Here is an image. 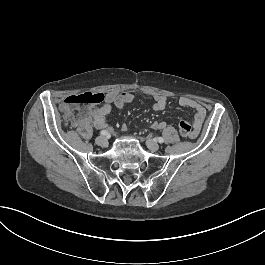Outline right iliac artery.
Returning <instances> with one entry per match:
<instances>
[{"mask_svg":"<svg viewBox=\"0 0 265 265\" xmlns=\"http://www.w3.org/2000/svg\"><path fill=\"white\" fill-rule=\"evenodd\" d=\"M100 134L106 136V135L108 134V132H107L106 130H102V131L100 132Z\"/></svg>","mask_w":265,"mask_h":265,"instance_id":"obj_1","label":"right iliac artery"}]
</instances>
